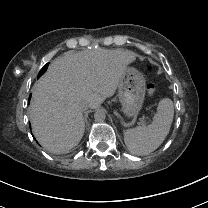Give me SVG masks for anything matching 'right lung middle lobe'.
I'll use <instances>...</instances> for the list:
<instances>
[{
  "label": "right lung middle lobe",
  "instance_id": "dd1d6c3e",
  "mask_svg": "<svg viewBox=\"0 0 208 208\" xmlns=\"http://www.w3.org/2000/svg\"><path fill=\"white\" fill-rule=\"evenodd\" d=\"M46 67H47V64L40 70L38 77H40L46 71L47 69Z\"/></svg>",
  "mask_w": 208,
  "mask_h": 208
}]
</instances>
